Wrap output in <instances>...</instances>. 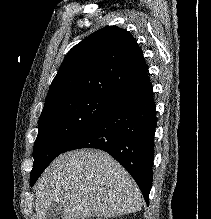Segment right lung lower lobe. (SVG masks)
<instances>
[{
    "instance_id": "98d812e1",
    "label": "right lung lower lobe",
    "mask_w": 211,
    "mask_h": 219,
    "mask_svg": "<svg viewBox=\"0 0 211 219\" xmlns=\"http://www.w3.org/2000/svg\"><path fill=\"white\" fill-rule=\"evenodd\" d=\"M157 126L152 85L117 103L64 150L96 148L108 152L134 178L149 204L154 133Z\"/></svg>"
}]
</instances>
